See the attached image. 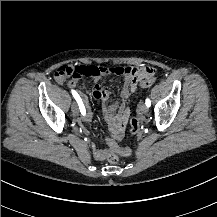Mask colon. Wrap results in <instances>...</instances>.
Here are the masks:
<instances>
[{"instance_id": "1", "label": "colon", "mask_w": 217, "mask_h": 217, "mask_svg": "<svg viewBox=\"0 0 217 217\" xmlns=\"http://www.w3.org/2000/svg\"><path fill=\"white\" fill-rule=\"evenodd\" d=\"M154 69L149 66H130V65H117V66H102V67H94V66H80L77 62L65 63L62 67L56 70L55 80L59 84H64L66 82H70L75 79H79L85 77L89 80H94L99 78L103 74H117V75H131L135 78H139L143 74H148L152 72ZM155 76L148 78L147 80H143L138 83L139 87H149L154 84ZM130 129L131 132L137 133L140 129L139 122L136 118H132L130 121ZM102 140L107 145V147L113 152H120L124 156H130L132 151L130 149L124 148L119 144H114L112 140L104 135ZM107 159L112 165H115L119 162V157L114 156L113 154H108Z\"/></svg>"}]
</instances>
